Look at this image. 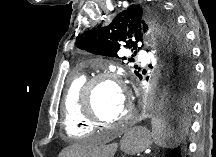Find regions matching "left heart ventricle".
Masks as SVG:
<instances>
[{"instance_id": "left-heart-ventricle-1", "label": "left heart ventricle", "mask_w": 216, "mask_h": 157, "mask_svg": "<svg viewBox=\"0 0 216 157\" xmlns=\"http://www.w3.org/2000/svg\"><path fill=\"white\" fill-rule=\"evenodd\" d=\"M94 105L97 114L106 121L117 120L128 109L127 104L122 101L120 88L110 83L97 87Z\"/></svg>"}]
</instances>
